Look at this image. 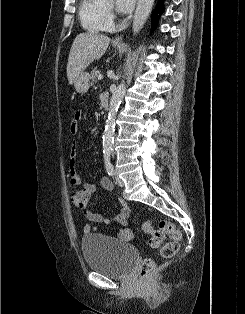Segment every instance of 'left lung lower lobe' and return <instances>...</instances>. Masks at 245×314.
<instances>
[{
  "mask_svg": "<svg viewBox=\"0 0 245 314\" xmlns=\"http://www.w3.org/2000/svg\"><path fill=\"white\" fill-rule=\"evenodd\" d=\"M162 11H163V0H159L157 6L155 8L154 14H153L152 28H154L156 26V23H157V19H158L157 12L160 13Z\"/></svg>",
  "mask_w": 245,
  "mask_h": 314,
  "instance_id": "obj_1",
  "label": "left lung lower lobe"
}]
</instances>
